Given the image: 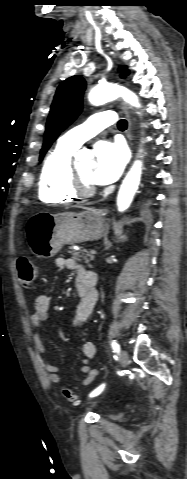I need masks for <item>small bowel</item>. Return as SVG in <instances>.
I'll list each match as a JSON object with an SVG mask.
<instances>
[{
  "instance_id": "c3829d8e",
  "label": "small bowel",
  "mask_w": 187,
  "mask_h": 479,
  "mask_svg": "<svg viewBox=\"0 0 187 479\" xmlns=\"http://www.w3.org/2000/svg\"><path fill=\"white\" fill-rule=\"evenodd\" d=\"M55 266L60 270H73L77 273L76 289L80 297L76 315L74 319V327L81 330L89 321L92 316L96 302L97 293L93 291L91 293H85L83 290V283L85 278L92 273L81 265L78 261L68 257H58L55 259ZM34 312L30 316V324L33 327L32 343L34 345L36 353L42 357L45 353V347L42 342L40 327L43 321L49 317L51 308V301L49 296L45 294L38 295L33 302ZM81 353L84 355L82 360V385L89 386L99 376V371L91 369L88 366L89 359L93 358L96 354V347L92 342H83L79 346ZM41 363L44 370L49 374L50 380L55 383H61V377L59 369L47 361L45 358H41Z\"/></svg>"
}]
</instances>
